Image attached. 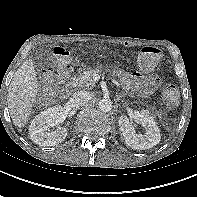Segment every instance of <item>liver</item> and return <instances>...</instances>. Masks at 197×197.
<instances>
[{
	"mask_svg": "<svg viewBox=\"0 0 197 197\" xmlns=\"http://www.w3.org/2000/svg\"><path fill=\"white\" fill-rule=\"evenodd\" d=\"M38 94V81L34 63L25 60L16 71L8 89V108L13 124L23 127L28 122Z\"/></svg>",
	"mask_w": 197,
	"mask_h": 197,
	"instance_id": "liver-1",
	"label": "liver"
}]
</instances>
